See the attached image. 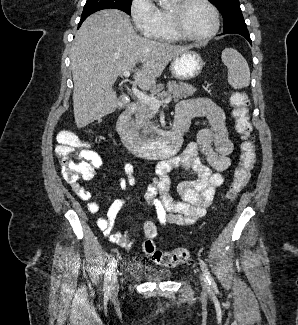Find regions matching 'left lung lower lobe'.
Returning a JSON list of instances; mask_svg holds the SVG:
<instances>
[{
    "label": "left lung lower lobe",
    "instance_id": "left-lung-lower-lobe-1",
    "mask_svg": "<svg viewBox=\"0 0 298 325\" xmlns=\"http://www.w3.org/2000/svg\"><path fill=\"white\" fill-rule=\"evenodd\" d=\"M224 34H240L245 37L251 44V39L246 24L234 25L228 29H223Z\"/></svg>",
    "mask_w": 298,
    "mask_h": 325
}]
</instances>
